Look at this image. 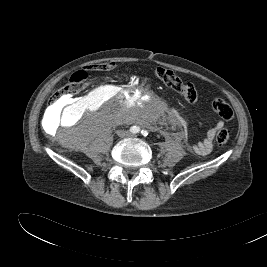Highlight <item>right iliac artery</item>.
I'll use <instances>...</instances> for the list:
<instances>
[{
  "mask_svg": "<svg viewBox=\"0 0 267 267\" xmlns=\"http://www.w3.org/2000/svg\"><path fill=\"white\" fill-rule=\"evenodd\" d=\"M130 132H132L133 134H137L140 132V128L138 126H132L130 128Z\"/></svg>",
  "mask_w": 267,
  "mask_h": 267,
  "instance_id": "1",
  "label": "right iliac artery"
}]
</instances>
